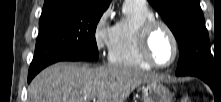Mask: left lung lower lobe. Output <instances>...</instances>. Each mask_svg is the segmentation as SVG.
<instances>
[{
	"label": "left lung lower lobe",
	"instance_id": "obj_1",
	"mask_svg": "<svg viewBox=\"0 0 221 102\" xmlns=\"http://www.w3.org/2000/svg\"><path fill=\"white\" fill-rule=\"evenodd\" d=\"M201 78L204 82H206L211 88L213 87L214 79L206 76H198V75H191Z\"/></svg>",
	"mask_w": 221,
	"mask_h": 102
}]
</instances>
